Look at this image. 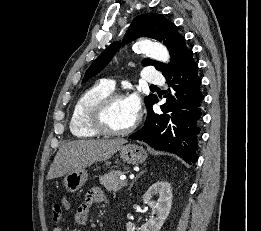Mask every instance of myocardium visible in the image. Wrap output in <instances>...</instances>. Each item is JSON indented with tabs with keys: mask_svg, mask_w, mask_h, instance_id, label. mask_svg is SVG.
Here are the masks:
<instances>
[{
	"mask_svg": "<svg viewBox=\"0 0 261 231\" xmlns=\"http://www.w3.org/2000/svg\"><path fill=\"white\" fill-rule=\"evenodd\" d=\"M126 98V96L121 92H111L110 94L103 97L99 100L90 111V124L91 126L101 134L105 135H114V136H122L127 135L133 132L140 121L139 116L137 115L133 123L125 128V129H114L108 123V112L112 106V104L118 100Z\"/></svg>",
	"mask_w": 261,
	"mask_h": 231,
	"instance_id": "myocardium-1",
	"label": "myocardium"
}]
</instances>
